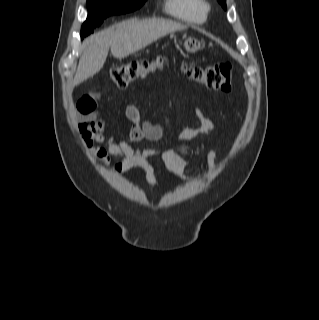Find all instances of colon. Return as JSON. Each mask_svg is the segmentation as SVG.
Wrapping results in <instances>:
<instances>
[{"label":"colon","mask_w":319,"mask_h":320,"mask_svg":"<svg viewBox=\"0 0 319 320\" xmlns=\"http://www.w3.org/2000/svg\"><path fill=\"white\" fill-rule=\"evenodd\" d=\"M163 61V58L159 57L155 60L141 59L116 65L110 72V80L118 89H125L132 82L148 76L162 65ZM183 70L193 81L208 89L230 90L232 88L230 62L224 61L206 66L184 65ZM142 138L157 139L159 137L156 131L145 129ZM128 140L132 142L139 138L136 134L129 132Z\"/></svg>","instance_id":"colon-1"}]
</instances>
